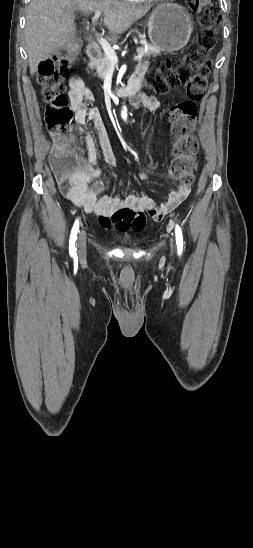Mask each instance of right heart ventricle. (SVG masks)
Instances as JSON below:
<instances>
[{"label":"right heart ventricle","mask_w":253,"mask_h":548,"mask_svg":"<svg viewBox=\"0 0 253 548\" xmlns=\"http://www.w3.org/2000/svg\"><path fill=\"white\" fill-rule=\"evenodd\" d=\"M125 2H129V3H140L142 2L143 0H124Z\"/></svg>","instance_id":"1"}]
</instances>
